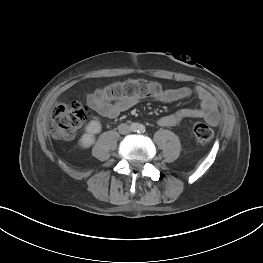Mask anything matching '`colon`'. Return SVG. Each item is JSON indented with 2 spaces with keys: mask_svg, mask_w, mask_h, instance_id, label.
Instances as JSON below:
<instances>
[{
  "mask_svg": "<svg viewBox=\"0 0 263 263\" xmlns=\"http://www.w3.org/2000/svg\"><path fill=\"white\" fill-rule=\"evenodd\" d=\"M162 86L145 79H128L113 83L104 88L101 93L109 99H142L157 97L163 92ZM88 117L87 107L79 102L60 105L52 113V135L57 139H71ZM193 134L201 143H208L213 138V130L203 122L193 126Z\"/></svg>",
  "mask_w": 263,
  "mask_h": 263,
  "instance_id": "colon-1",
  "label": "colon"
}]
</instances>
